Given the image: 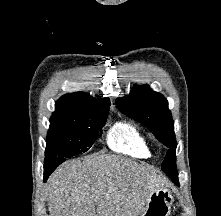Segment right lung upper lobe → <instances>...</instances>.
I'll use <instances>...</instances> for the list:
<instances>
[{
    "label": "right lung upper lobe",
    "instance_id": "1",
    "mask_svg": "<svg viewBox=\"0 0 221 216\" xmlns=\"http://www.w3.org/2000/svg\"><path fill=\"white\" fill-rule=\"evenodd\" d=\"M56 111L50 119V126L70 123L84 116L109 112L110 100L95 99L83 92L63 95L56 102Z\"/></svg>",
    "mask_w": 221,
    "mask_h": 216
}]
</instances>
